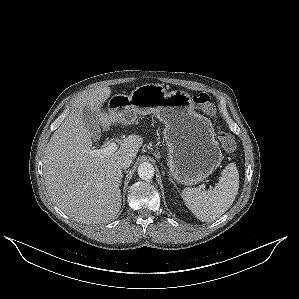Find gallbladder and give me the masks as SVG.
Returning a JSON list of instances; mask_svg holds the SVG:
<instances>
[{"mask_svg":"<svg viewBox=\"0 0 299 299\" xmlns=\"http://www.w3.org/2000/svg\"><path fill=\"white\" fill-rule=\"evenodd\" d=\"M82 116L86 129L93 134L94 138L98 137L100 126L96 114L89 107H84Z\"/></svg>","mask_w":299,"mask_h":299,"instance_id":"obj_1","label":"gallbladder"}]
</instances>
